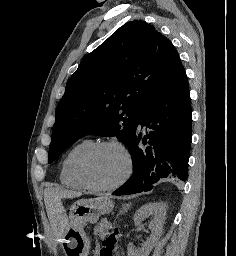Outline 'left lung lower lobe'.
<instances>
[{
	"label": "left lung lower lobe",
	"instance_id": "1",
	"mask_svg": "<svg viewBox=\"0 0 236 256\" xmlns=\"http://www.w3.org/2000/svg\"><path fill=\"white\" fill-rule=\"evenodd\" d=\"M139 125L148 130L141 132ZM191 131V100L183 71L140 112L128 146L133 174L112 195L150 191L163 178L186 181ZM141 141L146 148L139 146Z\"/></svg>",
	"mask_w": 236,
	"mask_h": 256
}]
</instances>
